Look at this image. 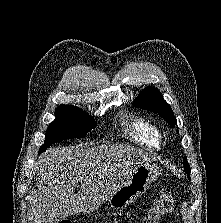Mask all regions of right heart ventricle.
Segmentation results:
<instances>
[{
	"label": "right heart ventricle",
	"instance_id": "right-heart-ventricle-1",
	"mask_svg": "<svg viewBox=\"0 0 221 223\" xmlns=\"http://www.w3.org/2000/svg\"><path fill=\"white\" fill-rule=\"evenodd\" d=\"M126 135L133 141L158 148L161 144V134L159 129L151 121L133 116L126 124Z\"/></svg>",
	"mask_w": 221,
	"mask_h": 223
}]
</instances>
